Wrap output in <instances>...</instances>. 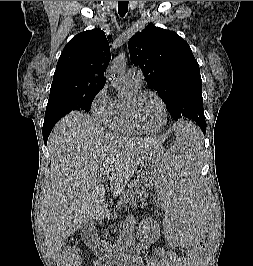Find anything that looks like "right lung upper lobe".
I'll list each match as a JSON object with an SVG mask.
<instances>
[{"instance_id":"cb5924a9","label":"right lung upper lobe","mask_w":253,"mask_h":266,"mask_svg":"<svg viewBox=\"0 0 253 266\" xmlns=\"http://www.w3.org/2000/svg\"><path fill=\"white\" fill-rule=\"evenodd\" d=\"M111 59L109 43L101 29L74 36L64 47L54 73L50 96L100 91Z\"/></svg>"}]
</instances>
